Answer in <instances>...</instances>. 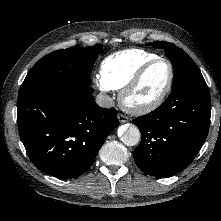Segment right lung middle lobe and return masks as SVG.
<instances>
[{
  "instance_id": "obj_1",
  "label": "right lung middle lobe",
  "mask_w": 221,
  "mask_h": 221,
  "mask_svg": "<svg viewBox=\"0 0 221 221\" xmlns=\"http://www.w3.org/2000/svg\"><path fill=\"white\" fill-rule=\"evenodd\" d=\"M103 45L76 47L52 52L29 71L19 93L51 87L90 86L91 71Z\"/></svg>"
}]
</instances>
